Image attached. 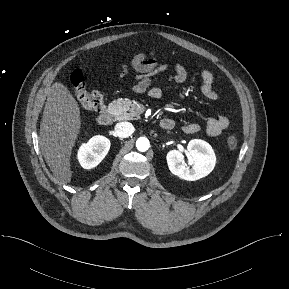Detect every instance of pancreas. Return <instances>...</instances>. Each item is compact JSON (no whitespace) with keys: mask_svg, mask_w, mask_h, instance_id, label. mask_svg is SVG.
Listing matches in <instances>:
<instances>
[{"mask_svg":"<svg viewBox=\"0 0 289 289\" xmlns=\"http://www.w3.org/2000/svg\"><path fill=\"white\" fill-rule=\"evenodd\" d=\"M108 108L118 121L139 119L135 105L128 99L114 100L109 104Z\"/></svg>","mask_w":289,"mask_h":289,"instance_id":"cf45deb5","label":"pancreas"}]
</instances>
